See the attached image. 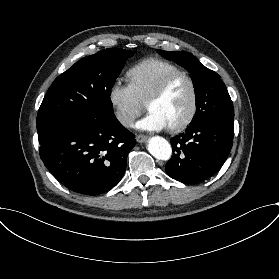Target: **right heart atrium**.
Wrapping results in <instances>:
<instances>
[{
  "label": "right heart atrium",
  "instance_id": "obj_1",
  "mask_svg": "<svg viewBox=\"0 0 279 279\" xmlns=\"http://www.w3.org/2000/svg\"><path fill=\"white\" fill-rule=\"evenodd\" d=\"M108 103L118 124L128 127L144 108L129 84L115 81L108 90Z\"/></svg>",
  "mask_w": 279,
  "mask_h": 279
}]
</instances>
